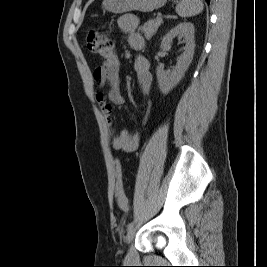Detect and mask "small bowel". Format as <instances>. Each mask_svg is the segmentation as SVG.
<instances>
[{
	"mask_svg": "<svg viewBox=\"0 0 267 267\" xmlns=\"http://www.w3.org/2000/svg\"><path fill=\"white\" fill-rule=\"evenodd\" d=\"M117 25L123 32L127 33V42L133 50L140 51L143 49L144 39L137 31L139 25L138 17L131 14L122 15L118 18ZM119 67V58L114 55L111 59L103 61L102 64L94 70V80L98 86H108L107 95L97 93L95 97L105 116L109 129L113 133L115 132L111 115L113 105H121L124 103V97L121 92ZM134 70L137 75L140 90L143 96L146 97L152 85V75L148 59L143 55H137L134 59ZM138 145L139 135L132 133L129 129H122L118 134H115L112 139V148L116 151L131 153L138 148Z\"/></svg>",
	"mask_w": 267,
	"mask_h": 267,
	"instance_id": "1",
	"label": "small bowel"
}]
</instances>
